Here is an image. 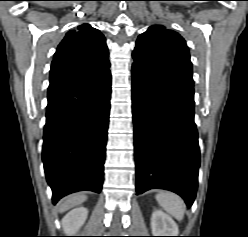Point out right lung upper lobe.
<instances>
[{"label": "right lung upper lobe", "mask_w": 248, "mask_h": 237, "mask_svg": "<svg viewBox=\"0 0 248 237\" xmlns=\"http://www.w3.org/2000/svg\"><path fill=\"white\" fill-rule=\"evenodd\" d=\"M110 66L102 33L89 24L69 31L59 44L50 69V84L96 74Z\"/></svg>", "instance_id": "1"}]
</instances>
